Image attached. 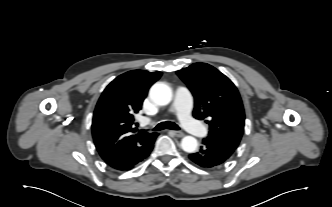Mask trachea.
I'll return each instance as SVG.
<instances>
[{
  "label": "trachea",
  "instance_id": "1",
  "mask_svg": "<svg viewBox=\"0 0 332 207\" xmlns=\"http://www.w3.org/2000/svg\"><path fill=\"white\" fill-rule=\"evenodd\" d=\"M172 129V130H179L180 127L175 124L174 122H169V121H166V122H161L159 123L153 130L154 131H160V130H164V129Z\"/></svg>",
  "mask_w": 332,
  "mask_h": 207
}]
</instances>
